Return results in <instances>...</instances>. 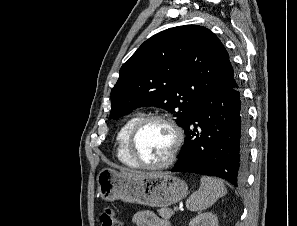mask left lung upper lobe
Returning a JSON list of instances; mask_svg holds the SVG:
<instances>
[{
	"label": "left lung upper lobe",
	"instance_id": "1",
	"mask_svg": "<svg viewBox=\"0 0 297 226\" xmlns=\"http://www.w3.org/2000/svg\"><path fill=\"white\" fill-rule=\"evenodd\" d=\"M236 86L228 52L216 35L202 26H178L146 40L121 67L110 117L156 106L183 127L205 92Z\"/></svg>",
	"mask_w": 297,
	"mask_h": 226
}]
</instances>
